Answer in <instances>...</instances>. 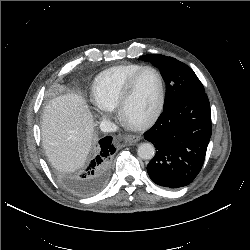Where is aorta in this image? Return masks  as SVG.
<instances>
[{
  "mask_svg": "<svg viewBox=\"0 0 250 250\" xmlns=\"http://www.w3.org/2000/svg\"><path fill=\"white\" fill-rule=\"evenodd\" d=\"M137 154L143 160H151L155 155V147L151 143H142L138 147Z\"/></svg>",
  "mask_w": 250,
  "mask_h": 250,
  "instance_id": "aorta-1",
  "label": "aorta"
}]
</instances>
